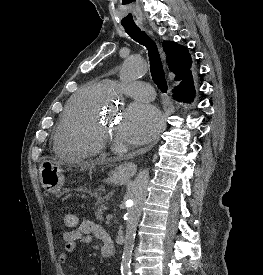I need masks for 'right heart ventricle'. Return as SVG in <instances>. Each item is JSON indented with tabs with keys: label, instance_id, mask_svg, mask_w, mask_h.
<instances>
[{
	"label": "right heart ventricle",
	"instance_id": "e07e8e85",
	"mask_svg": "<svg viewBox=\"0 0 263 275\" xmlns=\"http://www.w3.org/2000/svg\"><path fill=\"white\" fill-rule=\"evenodd\" d=\"M109 93L103 83H89L71 97L54 136V148L58 154L80 159L101 151V146L89 138L87 131Z\"/></svg>",
	"mask_w": 263,
	"mask_h": 275
}]
</instances>
